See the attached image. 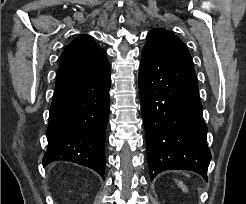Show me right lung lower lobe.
<instances>
[{"label": "right lung lower lobe", "instance_id": "1", "mask_svg": "<svg viewBox=\"0 0 246 204\" xmlns=\"http://www.w3.org/2000/svg\"><path fill=\"white\" fill-rule=\"evenodd\" d=\"M110 65L59 69L43 166L71 161L104 178L105 131L109 115Z\"/></svg>", "mask_w": 246, "mask_h": 204}]
</instances>
